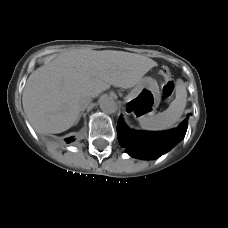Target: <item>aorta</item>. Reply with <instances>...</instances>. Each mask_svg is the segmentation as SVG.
I'll return each mask as SVG.
<instances>
[{
	"label": "aorta",
	"mask_w": 228,
	"mask_h": 228,
	"mask_svg": "<svg viewBox=\"0 0 228 228\" xmlns=\"http://www.w3.org/2000/svg\"><path fill=\"white\" fill-rule=\"evenodd\" d=\"M99 105L101 110L108 114L115 113L118 109L116 101L108 95H103L100 97Z\"/></svg>",
	"instance_id": "1"
}]
</instances>
